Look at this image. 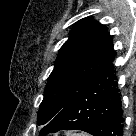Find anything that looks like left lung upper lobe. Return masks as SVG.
Here are the masks:
<instances>
[{"instance_id": "5c2ea615", "label": "left lung upper lobe", "mask_w": 136, "mask_h": 136, "mask_svg": "<svg viewBox=\"0 0 136 136\" xmlns=\"http://www.w3.org/2000/svg\"><path fill=\"white\" fill-rule=\"evenodd\" d=\"M111 36L105 25L87 17L78 21L60 49L38 111V125H46L76 95L110 55Z\"/></svg>"}]
</instances>
